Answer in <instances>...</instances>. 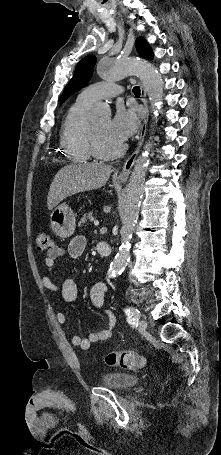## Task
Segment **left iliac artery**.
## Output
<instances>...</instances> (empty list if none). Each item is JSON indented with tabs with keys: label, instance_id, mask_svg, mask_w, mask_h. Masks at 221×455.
I'll list each match as a JSON object with an SVG mask.
<instances>
[{
	"label": "left iliac artery",
	"instance_id": "44dca946",
	"mask_svg": "<svg viewBox=\"0 0 221 455\" xmlns=\"http://www.w3.org/2000/svg\"><path fill=\"white\" fill-rule=\"evenodd\" d=\"M124 311L127 315V321L129 324H135L139 321L140 312L138 309H135L134 307H129L124 309Z\"/></svg>",
	"mask_w": 221,
	"mask_h": 455
}]
</instances>
